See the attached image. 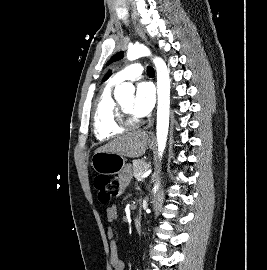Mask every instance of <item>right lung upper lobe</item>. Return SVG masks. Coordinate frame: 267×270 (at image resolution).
Here are the masks:
<instances>
[{"label": "right lung upper lobe", "mask_w": 267, "mask_h": 270, "mask_svg": "<svg viewBox=\"0 0 267 270\" xmlns=\"http://www.w3.org/2000/svg\"><path fill=\"white\" fill-rule=\"evenodd\" d=\"M110 73H111V71H109V72L105 75L104 79H106V78L110 75Z\"/></svg>", "instance_id": "obj_1"}]
</instances>
